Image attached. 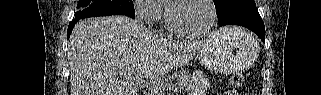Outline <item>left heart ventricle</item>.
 <instances>
[{
	"instance_id": "obj_1",
	"label": "left heart ventricle",
	"mask_w": 321,
	"mask_h": 95,
	"mask_svg": "<svg viewBox=\"0 0 321 95\" xmlns=\"http://www.w3.org/2000/svg\"><path fill=\"white\" fill-rule=\"evenodd\" d=\"M172 18L179 28L199 31L209 24L211 12L203 0H189L173 7Z\"/></svg>"
}]
</instances>
